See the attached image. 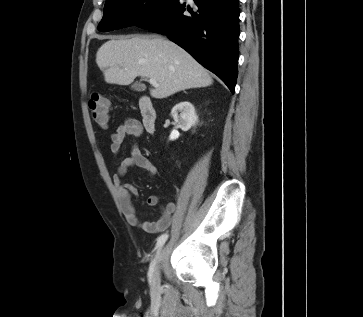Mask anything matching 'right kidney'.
<instances>
[{
  "label": "right kidney",
  "mask_w": 363,
  "mask_h": 317,
  "mask_svg": "<svg viewBox=\"0 0 363 317\" xmlns=\"http://www.w3.org/2000/svg\"><path fill=\"white\" fill-rule=\"evenodd\" d=\"M180 112V115H178ZM171 114L183 131H188L198 121L194 106L187 101L176 104Z\"/></svg>",
  "instance_id": "obj_1"
}]
</instances>
